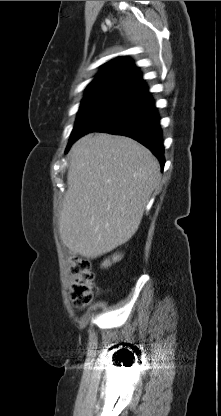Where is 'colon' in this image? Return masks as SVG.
<instances>
[{
  "label": "colon",
  "instance_id": "1",
  "mask_svg": "<svg viewBox=\"0 0 221 416\" xmlns=\"http://www.w3.org/2000/svg\"><path fill=\"white\" fill-rule=\"evenodd\" d=\"M72 281L69 288L70 298L77 309L89 305L93 298L94 275L90 260L75 253L69 256Z\"/></svg>",
  "mask_w": 221,
  "mask_h": 416
}]
</instances>
